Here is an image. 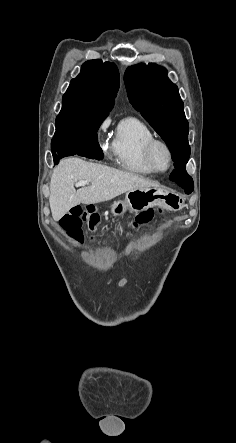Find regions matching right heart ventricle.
<instances>
[{
	"label": "right heart ventricle",
	"mask_w": 236,
	"mask_h": 443,
	"mask_svg": "<svg viewBox=\"0 0 236 443\" xmlns=\"http://www.w3.org/2000/svg\"><path fill=\"white\" fill-rule=\"evenodd\" d=\"M153 138L152 130L140 119L126 117L121 120L112 143L115 164L131 173L153 174L144 156L145 145Z\"/></svg>",
	"instance_id": "right-heart-ventricle-1"
}]
</instances>
